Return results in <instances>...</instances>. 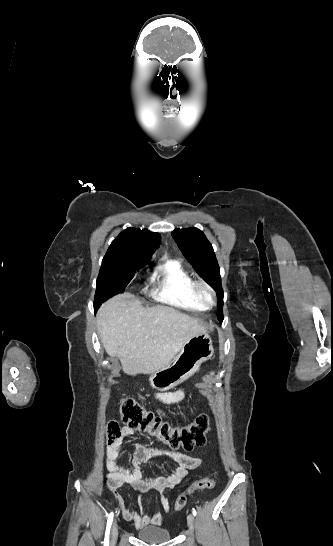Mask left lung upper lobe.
Instances as JSON below:
<instances>
[{"label":"left lung upper lobe","mask_w":333,"mask_h":546,"mask_svg":"<svg viewBox=\"0 0 333 546\" xmlns=\"http://www.w3.org/2000/svg\"><path fill=\"white\" fill-rule=\"evenodd\" d=\"M172 236L185 258L198 275L215 291L219 299L218 320L223 321V289L220 268L213 247L204 233L197 228L175 229Z\"/></svg>","instance_id":"left-lung-upper-lobe-1"}]
</instances>
